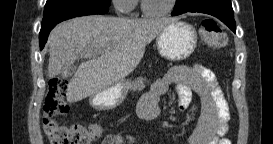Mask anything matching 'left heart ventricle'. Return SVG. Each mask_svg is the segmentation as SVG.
I'll return each mask as SVG.
<instances>
[{
    "instance_id": "1",
    "label": "left heart ventricle",
    "mask_w": 273,
    "mask_h": 144,
    "mask_svg": "<svg viewBox=\"0 0 273 144\" xmlns=\"http://www.w3.org/2000/svg\"><path fill=\"white\" fill-rule=\"evenodd\" d=\"M150 10H161L167 7L171 0H145Z\"/></svg>"
}]
</instances>
